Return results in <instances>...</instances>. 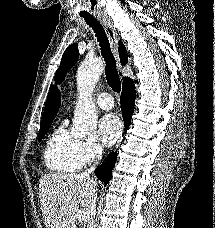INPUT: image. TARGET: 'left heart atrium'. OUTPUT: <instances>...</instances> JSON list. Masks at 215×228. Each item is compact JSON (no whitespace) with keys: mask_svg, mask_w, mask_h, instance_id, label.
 I'll list each match as a JSON object with an SVG mask.
<instances>
[{"mask_svg":"<svg viewBox=\"0 0 215 228\" xmlns=\"http://www.w3.org/2000/svg\"><path fill=\"white\" fill-rule=\"evenodd\" d=\"M122 129L119 117L113 113L104 115L98 124L100 139L107 146L115 144L120 139Z\"/></svg>","mask_w":215,"mask_h":228,"instance_id":"39dd6f15","label":"left heart atrium"}]
</instances>
